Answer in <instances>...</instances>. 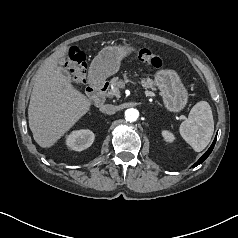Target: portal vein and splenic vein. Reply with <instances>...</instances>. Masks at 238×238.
<instances>
[{
	"label": "portal vein and splenic vein",
	"instance_id": "obj_1",
	"mask_svg": "<svg viewBox=\"0 0 238 238\" xmlns=\"http://www.w3.org/2000/svg\"><path fill=\"white\" fill-rule=\"evenodd\" d=\"M144 94H145L146 96H150V97L155 96V94H154L153 92L148 91V90H145V91H144Z\"/></svg>",
	"mask_w": 238,
	"mask_h": 238
}]
</instances>
